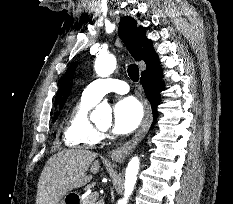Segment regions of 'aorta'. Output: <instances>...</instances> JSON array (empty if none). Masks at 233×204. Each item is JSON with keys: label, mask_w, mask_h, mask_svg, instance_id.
<instances>
[{"label": "aorta", "mask_w": 233, "mask_h": 204, "mask_svg": "<svg viewBox=\"0 0 233 204\" xmlns=\"http://www.w3.org/2000/svg\"><path fill=\"white\" fill-rule=\"evenodd\" d=\"M96 74L99 77H108L112 74L116 68V58L113 55H100L97 57L94 65ZM111 107L102 103L99 104L92 112L91 119L96 121L101 117H111ZM140 167V161L138 157H133L126 168L125 173V192L124 198L119 201V204H127V200L133 192L134 186L137 180V174Z\"/></svg>", "instance_id": "762f6f07"}]
</instances>
